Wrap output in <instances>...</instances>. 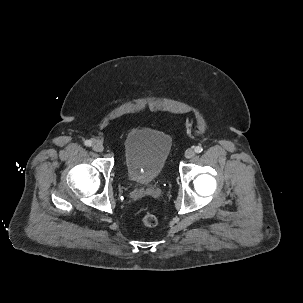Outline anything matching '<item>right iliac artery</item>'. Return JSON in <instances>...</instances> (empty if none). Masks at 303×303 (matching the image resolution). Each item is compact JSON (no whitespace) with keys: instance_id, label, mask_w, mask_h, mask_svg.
<instances>
[{"instance_id":"right-iliac-artery-1","label":"right iliac artery","mask_w":303,"mask_h":303,"mask_svg":"<svg viewBox=\"0 0 303 303\" xmlns=\"http://www.w3.org/2000/svg\"><path fill=\"white\" fill-rule=\"evenodd\" d=\"M85 145L86 146H91L92 145V141L91 140H86L85 141Z\"/></svg>"}]
</instances>
